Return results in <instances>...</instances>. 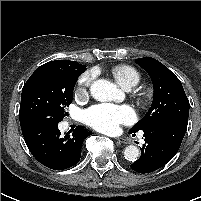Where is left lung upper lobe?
Masks as SVG:
<instances>
[{
  "instance_id": "5c2ea615",
  "label": "left lung upper lobe",
  "mask_w": 201,
  "mask_h": 201,
  "mask_svg": "<svg viewBox=\"0 0 201 201\" xmlns=\"http://www.w3.org/2000/svg\"><path fill=\"white\" fill-rule=\"evenodd\" d=\"M136 63L149 74L154 87V97L146 115L131 128L129 133L143 130L166 118L188 119L190 104L175 74L151 57L136 59Z\"/></svg>"
}]
</instances>
